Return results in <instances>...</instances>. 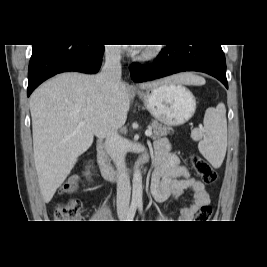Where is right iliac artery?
<instances>
[{
  "mask_svg": "<svg viewBox=\"0 0 267 267\" xmlns=\"http://www.w3.org/2000/svg\"><path fill=\"white\" fill-rule=\"evenodd\" d=\"M136 209H137V204L136 203H132L130 205L126 221H132L133 220V218L135 216V213H136Z\"/></svg>",
  "mask_w": 267,
  "mask_h": 267,
  "instance_id": "right-iliac-artery-1",
  "label": "right iliac artery"
}]
</instances>
